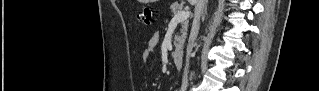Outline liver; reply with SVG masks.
I'll return each instance as SVG.
<instances>
[{
    "mask_svg": "<svg viewBox=\"0 0 319 91\" xmlns=\"http://www.w3.org/2000/svg\"><path fill=\"white\" fill-rule=\"evenodd\" d=\"M189 2H190V4H192V5H196V3H197V0H188Z\"/></svg>",
    "mask_w": 319,
    "mask_h": 91,
    "instance_id": "1",
    "label": "liver"
}]
</instances>
